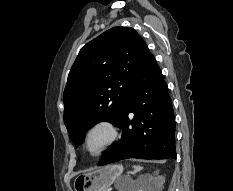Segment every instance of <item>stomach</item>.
<instances>
[{
  "label": "stomach",
  "mask_w": 233,
  "mask_h": 191,
  "mask_svg": "<svg viewBox=\"0 0 233 191\" xmlns=\"http://www.w3.org/2000/svg\"><path fill=\"white\" fill-rule=\"evenodd\" d=\"M122 171V166L117 164L96 168L77 176L74 189L75 191H108Z\"/></svg>",
  "instance_id": "stomach-1"
}]
</instances>
